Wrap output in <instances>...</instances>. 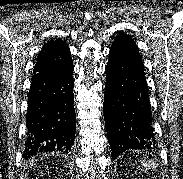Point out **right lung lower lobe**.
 Returning a JSON list of instances; mask_svg holds the SVG:
<instances>
[{"label":"right lung lower lobe","instance_id":"98d812e1","mask_svg":"<svg viewBox=\"0 0 183 179\" xmlns=\"http://www.w3.org/2000/svg\"><path fill=\"white\" fill-rule=\"evenodd\" d=\"M73 67L64 72L35 73L28 94L24 159L52 151H71L76 117Z\"/></svg>","mask_w":183,"mask_h":179}]
</instances>
